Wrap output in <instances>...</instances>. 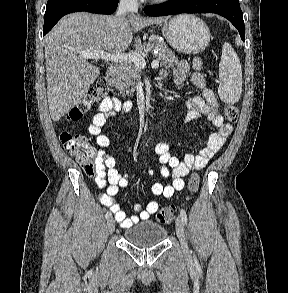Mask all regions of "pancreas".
<instances>
[{
	"label": "pancreas",
	"mask_w": 288,
	"mask_h": 293,
	"mask_svg": "<svg viewBox=\"0 0 288 293\" xmlns=\"http://www.w3.org/2000/svg\"><path fill=\"white\" fill-rule=\"evenodd\" d=\"M151 41H153L152 44H150ZM154 48H159L158 60L161 66L173 67L178 64V58L174 55L173 51L166 46L164 41L158 39L151 38L148 44H141L140 41H137L134 45V53L143 55ZM140 77V67L130 61L121 62L117 67L114 86L123 96H129V94L131 95L135 91Z\"/></svg>",
	"instance_id": "cf45deb5"
}]
</instances>
